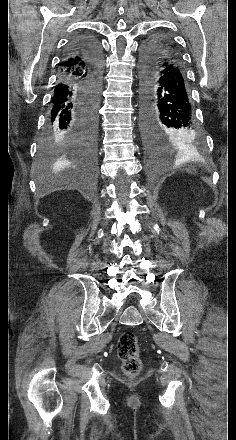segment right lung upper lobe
<instances>
[{
    "mask_svg": "<svg viewBox=\"0 0 236 440\" xmlns=\"http://www.w3.org/2000/svg\"><path fill=\"white\" fill-rule=\"evenodd\" d=\"M81 60H70L68 63H65L61 67L60 76L59 77H69L73 78H86L87 74L85 73L86 65L84 63H80Z\"/></svg>",
    "mask_w": 236,
    "mask_h": 440,
    "instance_id": "right-lung-upper-lobe-1",
    "label": "right lung upper lobe"
}]
</instances>
